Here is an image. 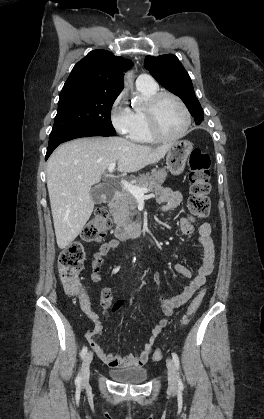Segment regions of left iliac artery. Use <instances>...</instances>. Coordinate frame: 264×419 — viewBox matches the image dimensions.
I'll return each mask as SVG.
<instances>
[{"label":"left iliac artery","instance_id":"1","mask_svg":"<svg viewBox=\"0 0 264 419\" xmlns=\"http://www.w3.org/2000/svg\"><path fill=\"white\" fill-rule=\"evenodd\" d=\"M172 357H173V361H174V363H175V366H176L177 370H179V368H180V362H179V357H178V355H177L176 353H172ZM178 385H179L180 387L182 386V381H181L180 377H179V379H178Z\"/></svg>","mask_w":264,"mask_h":419}]
</instances>
